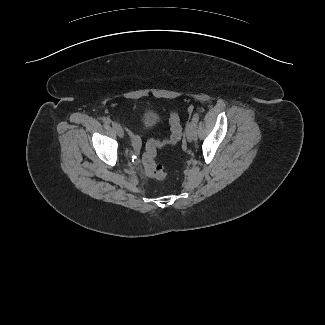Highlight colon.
I'll return each instance as SVG.
<instances>
[{
  "instance_id": "1",
  "label": "colon",
  "mask_w": 325,
  "mask_h": 325,
  "mask_svg": "<svg viewBox=\"0 0 325 325\" xmlns=\"http://www.w3.org/2000/svg\"><path fill=\"white\" fill-rule=\"evenodd\" d=\"M169 124L170 136L163 140H150L146 144L145 152L142 157L147 174L156 179H163L167 174L165 169L155 162L158 149L166 145L177 144L182 139L183 135L180 117L176 111L170 114Z\"/></svg>"
}]
</instances>
